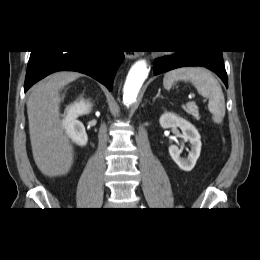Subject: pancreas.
Instances as JSON below:
<instances>
[{
  "label": "pancreas",
  "instance_id": "obj_1",
  "mask_svg": "<svg viewBox=\"0 0 260 260\" xmlns=\"http://www.w3.org/2000/svg\"><path fill=\"white\" fill-rule=\"evenodd\" d=\"M184 110L188 113L191 114L194 119L199 120L200 119V115L198 112V107L195 104H189L183 107Z\"/></svg>",
  "mask_w": 260,
  "mask_h": 260
}]
</instances>
